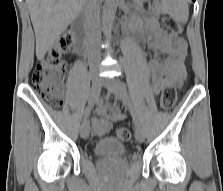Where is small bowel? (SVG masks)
Here are the masks:
<instances>
[{
    "mask_svg": "<svg viewBox=\"0 0 223 191\" xmlns=\"http://www.w3.org/2000/svg\"><path fill=\"white\" fill-rule=\"evenodd\" d=\"M132 28L140 31L150 49L165 56L164 60L153 58L148 63L154 93L159 94L167 85L181 86L186 75V41L173 33L165 32L155 18L134 22ZM96 114V117L90 119V124L92 135L98 137L108 133L113 123L125 118L116 103L99 106Z\"/></svg>",
    "mask_w": 223,
    "mask_h": 191,
    "instance_id": "1",
    "label": "small bowel"
}]
</instances>
